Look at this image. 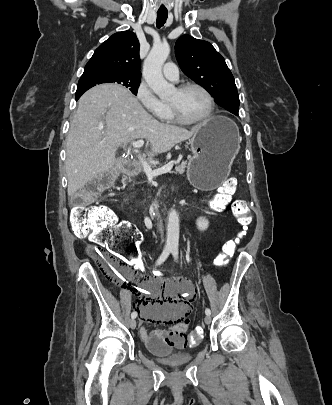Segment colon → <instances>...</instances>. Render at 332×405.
I'll return each instance as SVG.
<instances>
[{
  "label": "colon",
  "instance_id": "1",
  "mask_svg": "<svg viewBox=\"0 0 332 405\" xmlns=\"http://www.w3.org/2000/svg\"><path fill=\"white\" fill-rule=\"evenodd\" d=\"M114 177L115 174L113 172L102 173L71 197L72 212L70 223L75 233L88 235L92 237L94 242L106 244L102 248V253L96 249L88 248V254L97 261L106 277L111 282L117 283L122 274L123 265L124 267H138L141 256L140 245L143 244L144 240L129 222L117 221L115 214L108 207L89 204L100 191L112 184ZM236 187V178H227L219 188L213 208L215 210H222L230 201ZM231 209L242 228L234 239L224 244L222 253L216 259L217 267L224 266L227 257L234 254L236 247L245 236L247 227L251 222L246 201L240 199L233 201ZM113 256H121V258L118 260ZM142 270L148 272L149 268L144 267ZM154 276L158 277L159 273L155 272ZM182 323L190 325L192 318L184 316ZM205 330L204 324L197 322L193 331L190 333L185 332V337L182 338H187L188 340L186 343L187 351L199 350V342L204 337Z\"/></svg>",
  "mask_w": 332,
  "mask_h": 405
}]
</instances>
